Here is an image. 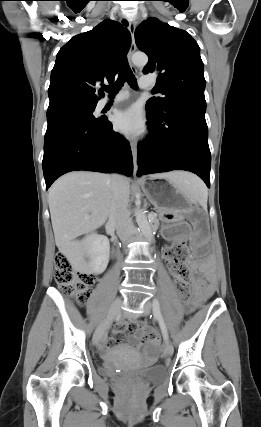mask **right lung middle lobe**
Wrapping results in <instances>:
<instances>
[{"instance_id":"1","label":"right lung middle lobe","mask_w":261,"mask_h":427,"mask_svg":"<svg viewBox=\"0 0 261 427\" xmlns=\"http://www.w3.org/2000/svg\"><path fill=\"white\" fill-rule=\"evenodd\" d=\"M96 105H67L54 109L47 110V121L65 118V117H78L90 121H99L93 116Z\"/></svg>"}]
</instances>
